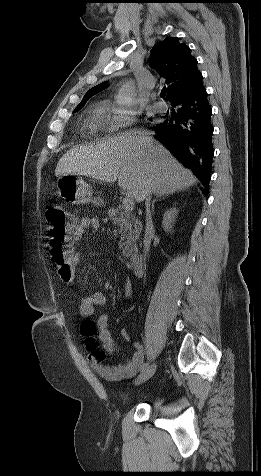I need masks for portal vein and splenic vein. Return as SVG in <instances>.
<instances>
[{
	"label": "portal vein and splenic vein",
	"instance_id": "portal-vein-and-splenic-vein-1",
	"mask_svg": "<svg viewBox=\"0 0 261 476\" xmlns=\"http://www.w3.org/2000/svg\"><path fill=\"white\" fill-rule=\"evenodd\" d=\"M122 208L125 212H131L134 209V200L130 195H127L122 200Z\"/></svg>",
	"mask_w": 261,
	"mask_h": 476
}]
</instances>
